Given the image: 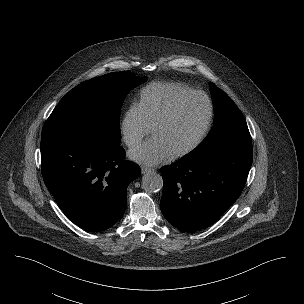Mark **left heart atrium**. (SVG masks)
Wrapping results in <instances>:
<instances>
[{"instance_id":"1","label":"left heart atrium","mask_w":304,"mask_h":304,"mask_svg":"<svg viewBox=\"0 0 304 304\" xmlns=\"http://www.w3.org/2000/svg\"><path fill=\"white\" fill-rule=\"evenodd\" d=\"M129 157L144 165H156L171 157V153L157 138H152L129 152Z\"/></svg>"}]
</instances>
